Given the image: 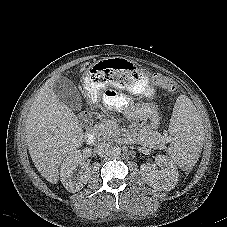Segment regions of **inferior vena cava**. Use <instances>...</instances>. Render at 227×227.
<instances>
[{
    "label": "inferior vena cava",
    "instance_id": "602c4592",
    "mask_svg": "<svg viewBox=\"0 0 227 227\" xmlns=\"http://www.w3.org/2000/svg\"><path fill=\"white\" fill-rule=\"evenodd\" d=\"M96 153L100 156H106L110 154V145L106 142H100L95 147Z\"/></svg>",
    "mask_w": 227,
    "mask_h": 227
}]
</instances>
